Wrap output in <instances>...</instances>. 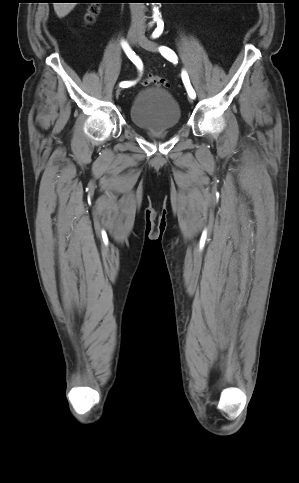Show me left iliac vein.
<instances>
[{"mask_svg":"<svg viewBox=\"0 0 299 483\" xmlns=\"http://www.w3.org/2000/svg\"><path fill=\"white\" fill-rule=\"evenodd\" d=\"M138 43L142 48H144L146 50H149V51H152V52L158 51L157 44L148 40L143 34L139 35ZM189 101L192 103L193 102L192 98H190Z\"/></svg>","mask_w":299,"mask_h":483,"instance_id":"1","label":"left iliac vein"}]
</instances>
